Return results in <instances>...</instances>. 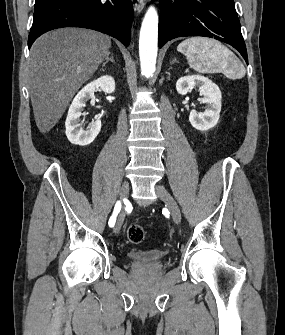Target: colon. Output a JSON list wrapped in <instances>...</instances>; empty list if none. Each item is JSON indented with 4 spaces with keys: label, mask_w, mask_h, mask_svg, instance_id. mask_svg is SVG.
<instances>
[{
    "label": "colon",
    "mask_w": 285,
    "mask_h": 335,
    "mask_svg": "<svg viewBox=\"0 0 285 335\" xmlns=\"http://www.w3.org/2000/svg\"><path fill=\"white\" fill-rule=\"evenodd\" d=\"M127 239L129 242L139 244L144 240L145 231L139 224H131L126 231Z\"/></svg>",
    "instance_id": "1"
}]
</instances>
